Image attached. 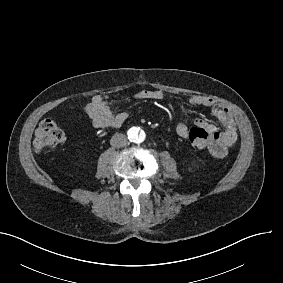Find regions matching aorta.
Here are the masks:
<instances>
[{"label": "aorta", "mask_w": 283, "mask_h": 283, "mask_svg": "<svg viewBox=\"0 0 283 283\" xmlns=\"http://www.w3.org/2000/svg\"><path fill=\"white\" fill-rule=\"evenodd\" d=\"M128 138L134 143H142L146 138V134L140 127L133 126L128 130Z\"/></svg>", "instance_id": "1"}]
</instances>
